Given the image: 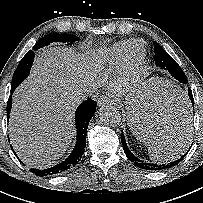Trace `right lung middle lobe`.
Instances as JSON below:
<instances>
[{
  "mask_svg": "<svg viewBox=\"0 0 203 203\" xmlns=\"http://www.w3.org/2000/svg\"><path fill=\"white\" fill-rule=\"evenodd\" d=\"M78 40L79 38L74 35L50 33L44 36L41 40H39L35 44L33 49L37 50L45 45H48L51 42H62V43H68L70 45L73 42ZM31 66H32V62L26 61V59L23 57L14 72V75L12 78V84H11L12 88H16L29 75Z\"/></svg>",
  "mask_w": 203,
  "mask_h": 203,
  "instance_id": "obj_1",
  "label": "right lung middle lobe"
}]
</instances>
